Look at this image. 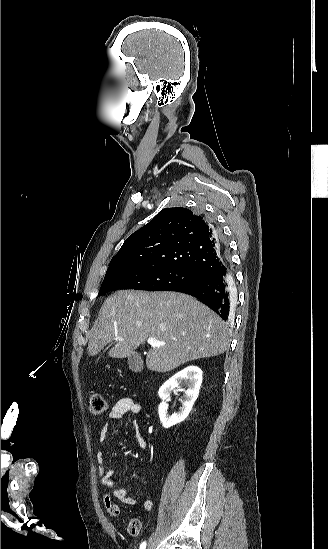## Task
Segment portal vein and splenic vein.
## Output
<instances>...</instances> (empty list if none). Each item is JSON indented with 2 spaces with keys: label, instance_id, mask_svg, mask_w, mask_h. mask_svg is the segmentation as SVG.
<instances>
[{
  "label": "portal vein and splenic vein",
  "instance_id": "portal-vein-and-splenic-vein-1",
  "mask_svg": "<svg viewBox=\"0 0 328 549\" xmlns=\"http://www.w3.org/2000/svg\"><path fill=\"white\" fill-rule=\"evenodd\" d=\"M115 341H122V339L116 337ZM147 343L148 345H152V347H164L166 345L165 341H156V339H147Z\"/></svg>",
  "mask_w": 328,
  "mask_h": 549
}]
</instances>
